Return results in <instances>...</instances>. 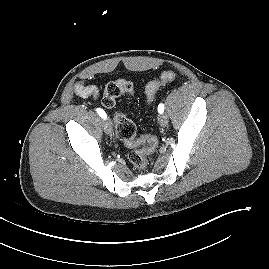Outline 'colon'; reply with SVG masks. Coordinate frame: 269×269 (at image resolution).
Listing matches in <instances>:
<instances>
[{"label": "colon", "mask_w": 269, "mask_h": 269, "mask_svg": "<svg viewBox=\"0 0 269 269\" xmlns=\"http://www.w3.org/2000/svg\"><path fill=\"white\" fill-rule=\"evenodd\" d=\"M176 78L174 71L168 70L161 73L156 80L149 82L145 88L146 98L151 103L162 85L169 83ZM133 93V85L126 80H116L109 82L104 91L102 104L111 108L115 105L116 100L122 95H131ZM117 136L132 150L129 152V160L133 166L139 170H145L148 167V156L155 149L157 139L154 136H146L144 138H136V127L134 123L122 114L114 116Z\"/></svg>", "instance_id": "colon-1"}]
</instances>
